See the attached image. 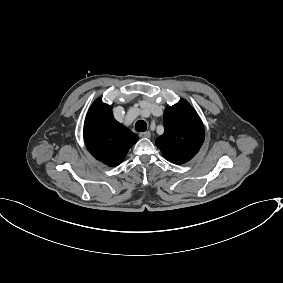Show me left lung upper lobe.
<instances>
[{
	"label": "left lung upper lobe",
	"mask_w": 283,
	"mask_h": 283,
	"mask_svg": "<svg viewBox=\"0 0 283 283\" xmlns=\"http://www.w3.org/2000/svg\"><path fill=\"white\" fill-rule=\"evenodd\" d=\"M164 133L155 141L164 158L174 164L191 160L205 138L204 127L193 107L184 99L164 112Z\"/></svg>",
	"instance_id": "obj_1"
}]
</instances>
